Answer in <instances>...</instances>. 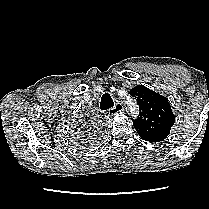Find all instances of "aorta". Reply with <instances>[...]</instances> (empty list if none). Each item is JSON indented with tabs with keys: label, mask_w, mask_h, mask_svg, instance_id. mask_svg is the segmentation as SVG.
<instances>
[{
	"label": "aorta",
	"mask_w": 209,
	"mask_h": 209,
	"mask_svg": "<svg viewBox=\"0 0 209 209\" xmlns=\"http://www.w3.org/2000/svg\"><path fill=\"white\" fill-rule=\"evenodd\" d=\"M124 104H125V106H126V109L128 110V111H133V112H135V111H137V104H136V102L133 100V99H131L130 97H127L125 100H124Z\"/></svg>",
	"instance_id": "aorta-1"
}]
</instances>
